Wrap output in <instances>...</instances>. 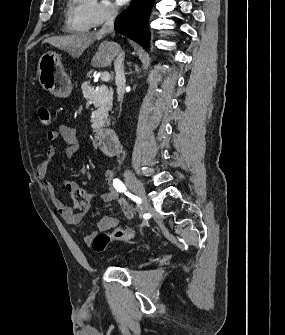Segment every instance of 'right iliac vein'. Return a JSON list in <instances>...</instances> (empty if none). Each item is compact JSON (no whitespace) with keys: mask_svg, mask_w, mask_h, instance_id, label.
Returning <instances> with one entry per match:
<instances>
[{"mask_svg":"<svg viewBox=\"0 0 285 335\" xmlns=\"http://www.w3.org/2000/svg\"><path fill=\"white\" fill-rule=\"evenodd\" d=\"M124 177L128 187L141 199L143 204V211L147 212L150 210V205L147 200V196L142 183L134 176L131 171H125Z\"/></svg>","mask_w":285,"mask_h":335,"instance_id":"right-iliac-vein-1","label":"right iliac vein"}]
</instances>
